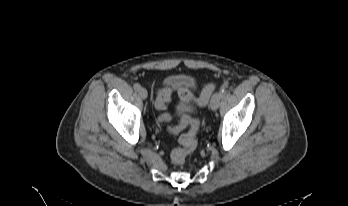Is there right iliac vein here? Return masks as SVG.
<instances>
[{"instance_id": "obj_1", "label": "right iliac vein", "mask_w": 348, "mask_h": 206, "mask_svg": "<svg viewBox=\"0 0 348 206\" xmlns=\"http://www.w3.org/2000/svg\"><path fill=\"white\" fill-rule=\"evenodd\" d=\"M138 93H139V96L142 98V99H146L147 98V90L143 87H141L139 90H138Z\"/></svg>"}]
</instances>
